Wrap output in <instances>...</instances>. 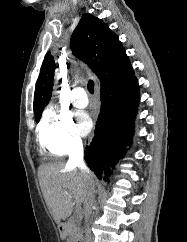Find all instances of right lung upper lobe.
I'll return each instance as SVG.
<instances>
[{
  "label": "right lung upper lobe",
  "instance_id": "obj_1",
  "mask_svg": "<svg viewBox=\"0 0 187 242\" xmlns=\"http://www.w3.org/2000/svg\"><path fill=\"white\" fill-rule=\"evenodd\" d=\"M70 47L72 53L83 60L98 76L101 88L133 74V69L118 36L101 19L84 14L74 30ZM55 62L50 52L45 55L38 77L33 109L41 116L52 93Z\"/></svg>",
  "mask_w": 187,
  "mask_h": 242
}]
</instances>
